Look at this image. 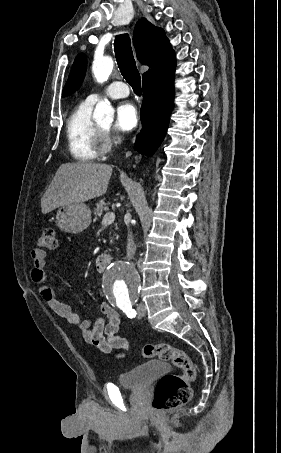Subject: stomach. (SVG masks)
Here are the masks:
<instances>
[{
  "mask_svg": "<svg viewBox=\"0 0 281 453\" xmlns=\"http://www.w3.org/2000/svg\"><path fill=\"white\" fill-rule=\"evenodd\" d=\"M91 222V210L84 202H70L60 206L56 212V224L64 233L77 235L88 229Z\"/></svg>",
  "mask_w": 281,
  "mask_h": 453,
  "instance_id": "obj_1",
  "label": "stomach"
}]
</instances>
